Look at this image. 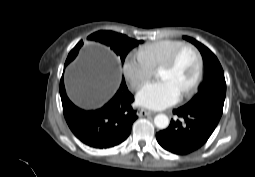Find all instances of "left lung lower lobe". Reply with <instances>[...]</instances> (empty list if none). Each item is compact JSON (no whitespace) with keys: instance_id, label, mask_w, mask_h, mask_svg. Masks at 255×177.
Returning <instances> with one entry per match:
<instances>
[{"instance_id":"1","label":"left lung lower lobe","mask_w":255,"mask_h":177,"mask_svg":"<svg viewBox=\"0 0 255 177\" xmlns=\"http://www.w3.org/2000/svg\"><path fill=\"white\" fill-rule=\"evenodd\" d=\"M173 113L183 122L173 119L167 129L156 134L158 143L167 151L186 155L201 148L215 130L222 113L215 109L180 107Z\"/></svg>"}]
</instances>
